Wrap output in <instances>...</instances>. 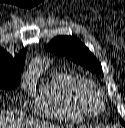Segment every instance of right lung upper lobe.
<instances>
[{"label":"right lung upper lobe","instance_id":"obj_1","mask_svg":"<svg viewBox=\"0 0 125 128\" xmlns=\"http://www.w3.org/2000/svg\"><path fill=\"white\" fill-rule=\"evenodd\" d=\"M26 50H22L15 58H12L6 50L0 47V69L19 70L22 71L24 67V55Z\"/></svg>","mask_w":125,"mask_h":128}]
</instances>
